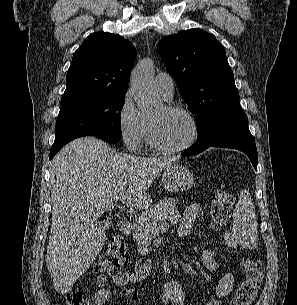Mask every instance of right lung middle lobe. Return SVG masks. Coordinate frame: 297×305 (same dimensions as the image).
<instances>
[{"mask_svg": "<svg viewBox=\"0 0 297 305\" xmlns=\"http://www.w3.org/2000/svg\"><path fill=\"white\" fill-rule=\"evenodd\" d=\"M125 94L87 95L61 100L52 148L82 136L121 138V110Z\"/></svg>", "mask_w": 297, "mask_h": 305, "instance_id": "right-lung-middle-lobe-1", "label": "right lung middle lobe"}]
</instances>
